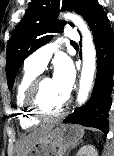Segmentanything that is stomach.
Returning <instances> with one entry per match:
<instances>
[{
  "label": "stomach",
  "instance_id": "0dacf381",
  "mask_svg": "<svg viewBox=\"0 0 114 156\" xmlns=\"http://www.w3.org/2000/svg\"><path fill=\"white\" fill-rule=\"evenodd\" d=\"M83 135L84 129L78 125H52L27 156H65L71 147L79 143Z\"/></svg>",
  "mask_w": 114,
  "mask_h": 156
}]
</instances>
